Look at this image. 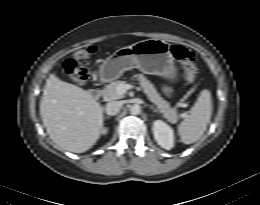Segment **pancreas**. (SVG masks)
Listing matches in <instances>:
<instances>
[{
  "label": "pancreas",
  "mask_w": 260,
  "mask_h": 205,
  "mask_svg": "<svg viewBox=\"0 0 260 205\" xmlns=\"http://www.w3.org/2000/svg\"><path fill=\"white\" fill-rule=\"evenodd\" d=\"M139 84L143 89L144 93L147 95L148 99L156 105L159 112H161L164 118L171 123H175L178 120V114L175 108L170 106V103L165 101L160 94L157 92L154 85L143 75L139 74L137 76ZM126 84L125 81H114L106 85L101 91L103 98L107 101L116 100L123 97V95L118 94L117 87L119 85Z\"/></svg>",
  "instance_id": "cf45deb5"
}]
</instances>
